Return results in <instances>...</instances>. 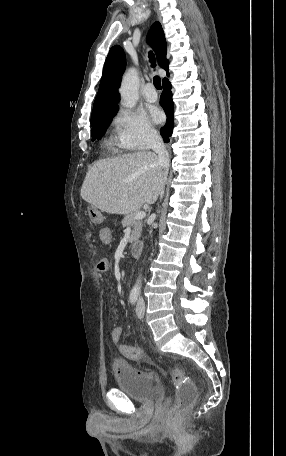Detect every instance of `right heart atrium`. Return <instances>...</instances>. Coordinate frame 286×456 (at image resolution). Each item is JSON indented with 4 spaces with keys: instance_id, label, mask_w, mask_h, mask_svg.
I'll list each match as a JSON object with an SVG mask.
<instances>
[{
    "instance_id": "d8ad5b80",
    "label": "right heart atrium",
    "mask_w": 286,
    "mask_h": 456,
    "mask_svg": "<svg viewBox=\"0 0 286 456\" xmlns=\"http://www.w3.org/2000/svg\"><path fill=\"white\" fill-rule=\"evenodd\" d=\"M116 137L127 149H147L158 134L144 114L129 109H120L113 120Z\"/></svg>"
}]
</instances>
